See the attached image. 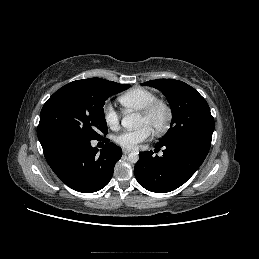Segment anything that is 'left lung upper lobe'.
I'll return each mask as SVG.
<instances>
[{"label": "left lung upper lobe", "mask_w": 259, "mask_h": 259, "mask_svg": "<svg viewBox=\"0 0 259 259\" xmlns=\"http://www.w3.org/2000/svg\"><path fill=\"white\" fill-rule=\"evenodd\" d=\"M142 85L161 90L170 103L171 127L157 144L186 138L211 144L214 118L206 100L193 87L175 79H157Z\"/></svg>", "instance_id": "left-lung-upper-lobe-1"}]
</instances>
